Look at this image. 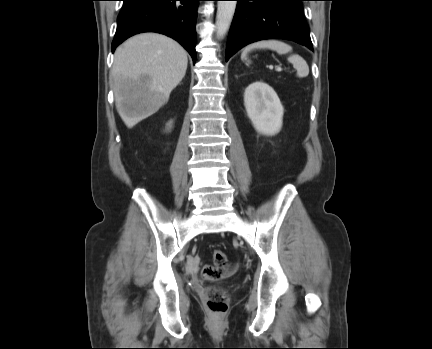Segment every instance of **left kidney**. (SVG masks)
<instances>
[{
  "instance_id": "left-kidney-1",
  "label": "left kidney",
  "mask_w": 432,
  "mask_h": 349,
  "mask_svg": "<svg viewBox=\"0 0 432 349\" xmlns=\"http://www.w3.org/2000/svg\"><path fill=\"white\" fill-rule=\"evenodd\" d=\"M247 116L257 132L275 135L282 127L283 106L274 89L263 81L251 83L244 93Z\"/></svg>"
}]
</instances>
